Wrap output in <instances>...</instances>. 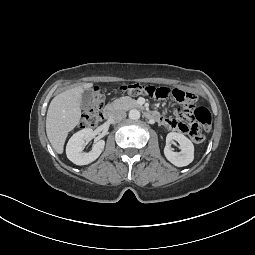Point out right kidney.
<instances>
[{
  "mask_svg": "<svg viewBox=\"0 0 255 255\" xmlns=\"http://www.w3.org/2000/svg\"><path fill=\"white\" fill-rule=\"evenodd\" d=\"M93 138V130L86 128L75 133L68 141L66 146L67 158L76 165H87L95 161L102 153L105 141L99 140L93 144L92 150L88 153L83 152L84 143Z\"/></svg>",
  "mask_w": 255,
  "mask_h": 255,
  "instance_id": "right-kidney-1",
  "label": "right kidney"
}]
</instances>
